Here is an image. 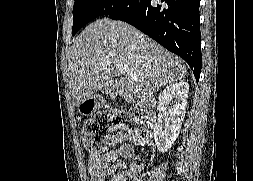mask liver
Masks as SVG:
<instances>
[{
  "instance_id": "liver-1",
  "label": "liver",
  "mask_w": 253,
  "mask_h": 181,
  "mask_svg": "<svg viewBox=\"0 0 253 181\" xmlns=\"http://www.w3.org/2000/svg\"><path fill=\"white\" fill-rule=\"evenodd\" d=\"M119 65L135 76H120ZM68 71L76 106L99 91L137 100L181 81L187 73L181 58L131 25L107 18L91 23L72 41Z\"/></svg>"
}]
</instances>
